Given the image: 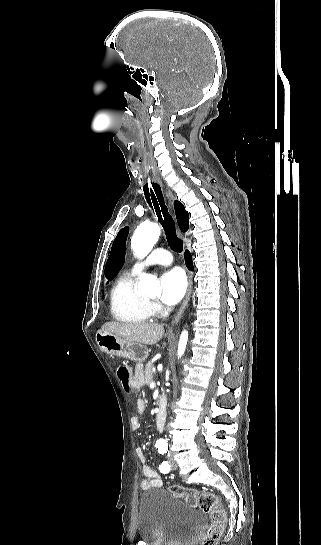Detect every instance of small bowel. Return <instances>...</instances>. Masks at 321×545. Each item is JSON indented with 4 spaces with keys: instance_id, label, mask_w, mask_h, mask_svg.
<instances>
[{
    "instance_id": "1",
    "label": "small bowel",
    "mask_w": 321,
    "mask_h": 545,
    "mask_svg": "<svg viewBox=\"0 0 321 545\" xmlns=\"http://www.w3.org/2000/svg\"><path fill=\"white\" fill-rule=\"evenodd\" d=\"M136 385H139L141 383V374L138 373L136 380ZM137 412L139 414L143 413L145 411V403L142 399H138L136 403ZM132 427L133 429H138L140 427V420L138 417H134L132 419ZM137 455L142 463V473L145 476V479L141 483V487L144 490L150 489V488H159L162 487L163 481L160 476V474L152 469L149 465L146 464V458L144 455V452L141 448L137 450Z\"/></svg>"
}]
</instances>
